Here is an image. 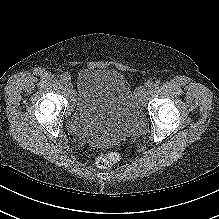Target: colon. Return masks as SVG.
<instances>
[{
  "mask_svg": "<svg viewBox=\"0 0 219 219\" xmlns=\"http://www.w3.org/2000/svg\"><path fill=\"white\" fill-rule=\"evenodd\" d=\"M121 156L117 152H110L104 155L99 156L96 159V166L100 169H109L119 163Z\"/></svg>",
  "mask_w": 219,
  "mask_h": 219,
  "instance_id": "5ec220e1",
  "label": "colon"
}]
</instances>
